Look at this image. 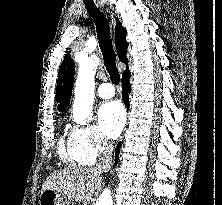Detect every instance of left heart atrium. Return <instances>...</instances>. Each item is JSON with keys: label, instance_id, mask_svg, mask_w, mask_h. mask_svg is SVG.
Listing matches in <instances>:
<instances>
[{"label": "left heart atrium", "instance_id": "1", "mask_svg": "<svg viewBox=\"0 0 222 205\" xmlns=\"http://www.w3.org/2000/svg\"><path fill=\"white\" fill-rule=\"evenodd\" d=\"M98 121L104 134L117 138L125 125V112L118 101L103 104L98 112Z\"/></svg>", "mask_w": 222, "mask_h": 205}]
</instances>
